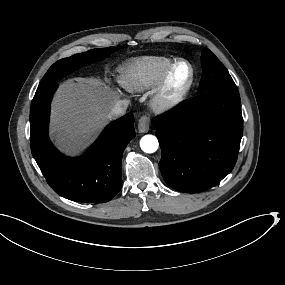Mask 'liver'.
Returning a JSON list of instances; mask_svg holds the SVG:
<instances>
[{
  "mask_svg": "<svg viewBox=\"0 0 285 285\" xmlns=\"http://www.w3.org/2000/svg\"><path fill=\"white\" fill-rule=\"evenodd\" d=\"M120 94L100 78L75 77L59 85L52 101L50 134L61 151L78 154L110 122Z\"/></svg>",
  "mask_w": 285,
  "mask_h": 285,
  "instance_id": "liver-1",
  "label": "liver"
}]
</instances>
